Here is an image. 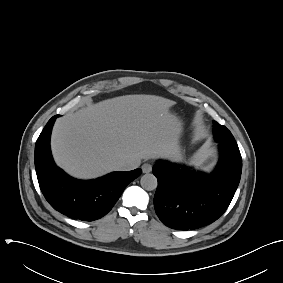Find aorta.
Here are the masks:
<instances>
[{
	"label": "aorta",
	"mask_w": 283,
	"mask_h": 283,
	"mask_svg": "<svg viewBox=\"0 0 283 283\" xmlns=\"http://www.w3.org/2000/svg\"><path fill=\"white\" fill-rule=\"evenodd\" d=\"M141 186L147 191H152L157 188V178L153 174H145L140 180Z\"/></svg>",
	"instance_id": "aorta-1"
}]
</instances>
